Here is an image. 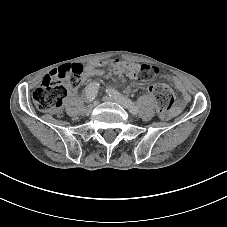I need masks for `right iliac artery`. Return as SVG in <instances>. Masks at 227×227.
I'll use <instances>...</instances> for the list:
<instances>
[{"label":"right iliac artery","mask_w":227,"mask_h":227,"mask_svg":"<svg viewBox=\"0 0 227 227\" xmlns=\"http://www.w3.org/2000/svg\"><path fill=\"white\" fill-rule=\"evenodd\" d=\"M99 90V84L98 83H92L89 86L85 88V96L86 100L88 102H91L92 100L95 99L97 92Z\"/></svg>","instance_id":"1"}]
</instances>
